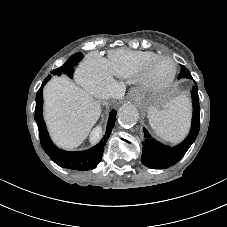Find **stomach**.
<instances>
[{
	"mask_svg": "<svg viewBox=\"0 0 227 227\" xmlns=\"http://www.w3.org/2000/svg\"><path fill=\"white\" fill-rule=\"evenodd\" d=\"M162 105V102L156 101L155 106L160 107Z\"/></svg>",
	"mask_w": 227,
	"mask_h": 227,
	"instance_id": "0dacf381",
	"label": "stomach"
}]
</instances>
